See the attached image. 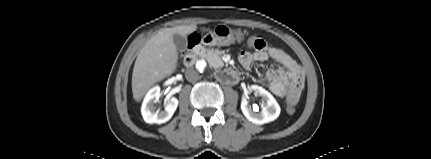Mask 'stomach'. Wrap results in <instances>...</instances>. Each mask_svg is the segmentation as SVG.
Masks as SVG:
<instances>
[{"mask_svg": "<svg viewBox=\"0 0 431 159\" xmlns=\"http://www.w3.org/2000/svg\"><path fill=\"white\" fill-rule=\"evenodd\" d=\"M242 40L243 34L240 30H233L226 25H218L213 31L203 37L202 42L209 46H228Z\"/></svg>", "mask_w": 431, "mask_h": 159, "instance_id": "1", "label": "stomach"}]
</instances>
